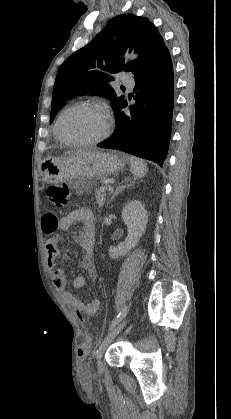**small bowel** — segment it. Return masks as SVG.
<instances>
[{"instance_id": "obj_1", "label": "small bowel", "mask_w": 231, "mask_h": 419, "mask_svg": "<svg viewBox=\"0 0 231 419\" xmlns=\"http://www.w3.org/2000/svg\"><path fill=\"white\" fill-rule=\"evenodd\" d=\"M77 222L82 224V232L74 235L73 238L85 253L82 266L88 269L92 268L95 242V219L92 211L88 208H78L61 219H57L53 214H47L42 217V230L47 234H51V237L46 244L47 264L48 267L53 270L54 286L62 293L66 303L71 305L80 316H93L100 308V300L92 299L89 302H85L78 298L73 292L66 290L67 280L64 271L61 268H56V259L60 254L59 243L61 237L58 234H55V231L57 229L66 231ZM84 285L85 279L83 276H77L72 284L73 289L75 290L81 289Z\"/></svg>"}]
</instances>
